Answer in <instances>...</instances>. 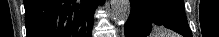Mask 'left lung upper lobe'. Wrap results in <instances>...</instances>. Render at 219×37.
<instances>
[{"label": "left lung upper lobe", "mask_w": 219, "mask_h": 37, "mask_svg": "<svg viewBox=\"0 0 219 37\" xmlns=\"http://www.w3.org/2000/svg\"><path fill=\"white\" fill-rule=\"evenodd\" d=\"M172 1H174L175 3H177L178 5H180L181 7H183L185 9L184 0H172Z\"/></svg>", "instance_id": "left-lung-upper-lobe-1"}]
</instances>
